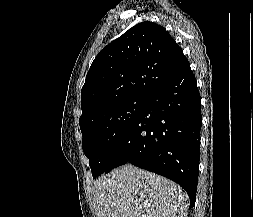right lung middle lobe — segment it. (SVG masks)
I'll return each instance as SVG.
<instances>
[{
    "instance_id": "right-lung-middle-lobe-1",
    "label": "right lung middle lobe",
    "mask_w": 253,
    "mask_h": 217,
    "mask_svg": "<svg viewBox=\"0 0 253 217\" xmlns=\"http://www.w3.org/2000/svg\"><path fill=\"white\" fill-rule=\"evenodd\" d=\"M146 100V97H134L117 102L80 125L82 148L89 158L93 178L108 169L115 149L144 109Z\"/></svg>"
}]
</instances>
